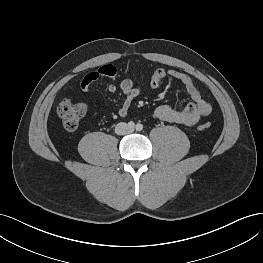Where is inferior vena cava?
<instances>
[{
  "label": "inferior vena cava",
  "instance_id": "1",
  "mask_svg": "<svg viewBox=\"0 0 263 263\" xmlns=\"http://www.w3.org/2000/svg\"><path fill=\"white\" fill-rule=\"evenodd\" d=\"M131 132V129L124 122H120L115 127V133L118 135H125Z\"/></svg>",
  "mask_w": 263,
  "mask_h": 263
}]
</instances>
